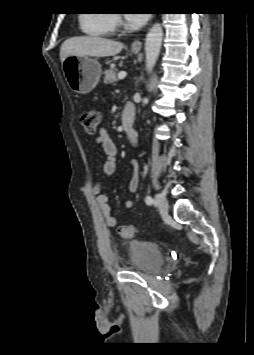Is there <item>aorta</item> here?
<instances>
[{
  "label": "aorta",
  "instance_id": "obj_1",
  "mask_svg": "<svg viewBox=\"0 0 254 355\" xmlns=\"http://www.w3.org/2000/svg\"><path fill=\"white\" fill-rule=\"evenodd\" d=\"M163 39V29L160 23L154 24L146 36L145 55L146 68L150 72L158 59Z\"/></svg>",
  "mask_w": 254,
  "mask_h": 355
}]
</instances>
